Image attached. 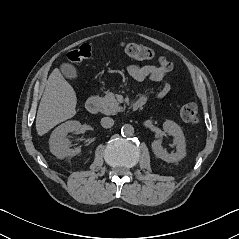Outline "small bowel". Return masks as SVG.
<instances>
[{"mask_svg":"<svg viewBox=\"0 0 239 239\" xmlns=\"http://www.w3.org/2000/svg\"><path fill=\"white\" fill-rule=\"evenodd\" d=\"M127 70L128 74L138 82L149 79L152 82L161 84V87L158 90L145 92L139 97L138 100H142L146 103L151 96L157 99H162L169 93L170 85L165 81L167 73L161 67H157L152 64H132Z\"/></svg>","mask_w":239,"mask_h":239,"instance_id":"1","label":"small bowel"}]
</instances>
